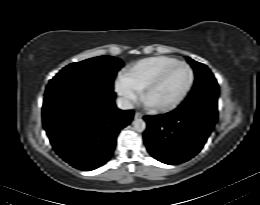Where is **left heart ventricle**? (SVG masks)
Here are the masks:
<instances>
[{
	"label": "left heart ventricle",
	"mask_w": 260,
	"mask_h": 205,
	"mask_svg": "<svg viewBox=\"0 0 260 205\" xmlns=\"http://www.w3.org/2000/svg\"><path fill=\"white\" fill-rule=\"evenodd\" d=\"M190 80L189 70L182 65L170 69L162 80L148 93L151 105H165L176 100L185 90Z\"/></svg>",
	"instance_id": "left-heart-ventricle-1"
}]
</instances>
